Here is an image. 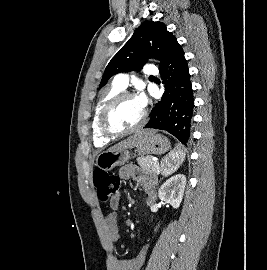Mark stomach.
<instances>
[{"mask_svg": "<svg viewBox=\"0 0 267 270\" xmlns=\"http://www.w3.org/2000/svg\"><path fill=\"white\" fill-rule=\"evenodd\" d=\"M171 148L169 140L161 134H152L143 144L137 147L136 152L141 155H160ZM130 151L127 148L107 150L101 152L96 158V166L104 171L112 170L116 166L124 165L130 159Z\"/></svg>", "mask_w": 267, "mask_h": 270, "instance_id": "0dacf381", "label": "stomach"}]
</instances>
